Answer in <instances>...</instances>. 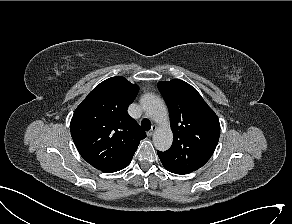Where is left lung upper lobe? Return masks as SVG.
Masks as SVG:
<instances>
[{
	"mask_svg": "<svg viewBox=\"0 0 292 224\" xmlns=\"http://www.w3.org/2000/svg\"><path fill=\"white\" fill-rule=\"evenodd\" d=\"M170 111L173 144L158 151L164 167L188 174L202 167L212 156L220 136V123L215 112L198 91L179 79L157 84Z\"/></svg>",
	"mask_w": 292,
	"mask_h": 224,
	"instance_id": "1",
	"label": "left lung upper lobe"
}]
</instances>
